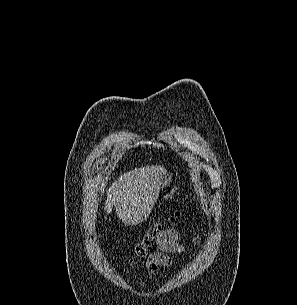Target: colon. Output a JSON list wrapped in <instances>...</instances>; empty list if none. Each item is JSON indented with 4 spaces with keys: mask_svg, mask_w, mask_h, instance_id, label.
Listing matches in <instances>:
<instances>
[{
    "mask_svg": "<svg viewBox=\"0 0 297 305\" xmlns=\"http://www.w3.org/2000/svg\"><path fill=\"white\" fill-rule=\"evenodd\" d=\"M178 217L179 215L175 213L171 216V219L175 220ZM156 233L157 229L150 230L142 239L134 244L132 252L135 258H143L150 254Z\"/></svg>",
    "mask_w": 297,
    "mask_h": 305,
    "instance_id": "5ec220e1",
    "label": "colon"
}]
</instances>
